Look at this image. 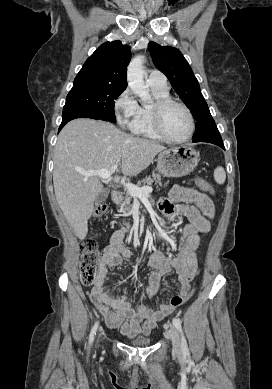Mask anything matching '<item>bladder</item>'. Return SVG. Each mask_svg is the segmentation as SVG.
Wrapping results in <instances>:
<instances>
[{
	"label": "bladder",
	"mask_w": 272,
	"mask_h": 389,
	"mask_svg": "<svg viewBox=\"0 0 272 389\" xmlns=\"http://www.w3.org/2000/svg\"><path fill=\"white\" fill-rule=\"evenodd\" d=\"M131 343L137 347H146V346H149L151 344V340L148 338H138V339L132 340Z\"/></svg>",
	"instance_id": "obj_1"
}]
</instances>
